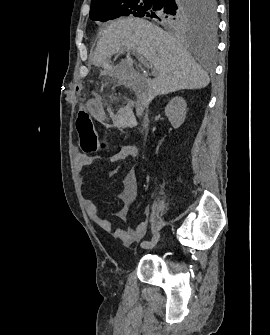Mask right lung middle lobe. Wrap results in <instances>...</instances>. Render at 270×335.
Listing matches in <instances>:
<instances>
[{
    "label": "right lung middle lobe",
    "mask_w": 270,
    "mask_h": 335,
    "mask_svg": "<svg viewBox=\"0 0 270 335\" xmlns=\"http://www.w3.org/2000/svg\"><path fill=\"white\" fill-rule=\"evenodd\" d=\"M149 17L168 28L206 25L216 28L214 0H109L92 6L89 17L105 22L121 16Z\"/></svg>",
    "instance_id": "dd1d6c3e"
}]
</instances>
